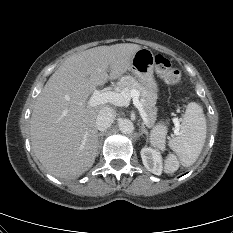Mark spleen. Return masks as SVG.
Listing matches in <instances>:
<instances>
[{"label":"spleen","mask_w":233,"mask_h":233,"mask_svg":"<svg viewBox=\"0 0 233 233\" xmlns=\"http://www.w3.org/2000/svg\"><path fill=\"white\" fill-rule=\"evenodd\" d=\"M206 133L207 125L203 108L198 103L190 102L180 125L179 135L168 143L183 166L189 167L196 162L204 147ZM151 143L156 145L152 134ZM173 162L174 158L166 161L168 172L176 170Z\"/></svg>","instance_id":"1"}]
</instances>
